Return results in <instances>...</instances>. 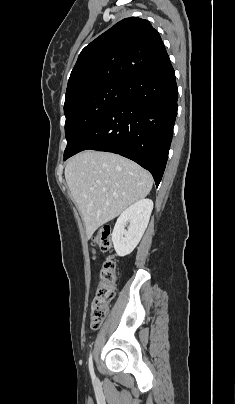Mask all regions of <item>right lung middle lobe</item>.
Here are the masks:
<instances>
[{"label": "right lung middle lobe", "mask_w": 235, "mask_h": 404, "mask_svg": "<svg viewBox=\"0 0 235 404\" xmlns=\"http://www.w3.org/2000/svg\"><path fill=\"white\" fill-rule=\"evenodd\" d=\"M124 83H106L84 90L64 104L67 147L64 157L73 152L88 130L121 100Z\"/></svg>", "instance_id": "dd1d6c3e"}]
</instances>
